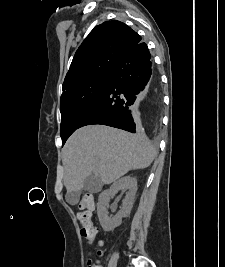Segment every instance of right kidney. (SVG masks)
<instances>
[{"instance_id": "1", "label": "right kidney", "mask_w": 225, "mask_h": 267, "mask_svg": "<svg viewBox=\"0 0 225 267\" xmlns=\"http://www.w3.org/2000/svg\"><path fill=\"white\" fill-rule=\"evenodd\" d=\"M126 192L121 210L115 216H108L109 200L118 191ZM137 191V180L132 176H125L114 182L108 190L103 191L98 198L97 214L104 231H112L118 227L122 218L130 215Z\"/></svg>"}]
</instances>
